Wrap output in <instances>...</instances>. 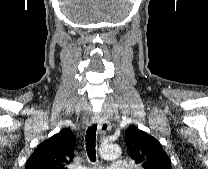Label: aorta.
Masks as SVG:
<instances>
[{
  "label": "aorta",
  "instance_id": "aorta-1",
  "mask_svg": "<svg viewBox=\"0 0 208 169\" xmlns=\"http://www.w3.org/2000/svg\"><path fill=\"white\" fill-rule=\"evenodd\" d=\"M100 156L105 160L117 159L121 155V149L118 145L105 143L100 147Z\"/></svg>",
  "mask_w": 208,
  "mask_h": 169
}]
</instances>
